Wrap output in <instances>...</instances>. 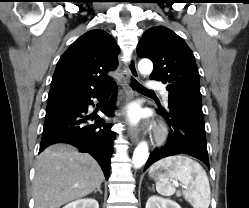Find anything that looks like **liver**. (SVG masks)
Segmentation results:
<instances>
[{"instance_id": "obj_1", "label": "liver", "mask_w": 249, "mask_h": 208, "mask_svg": "<svg viewBox=\"0 0 249 208\" xmlns=\"http://www.w3.org/2000/svg\"><path fill=\"white\" fill-rule=\"evenodd\" d=\"M97 161L69 144L46 148L37 158L33 182L35 208H60L85 197L103 182Z\"/></svg>"}]
</instances>
